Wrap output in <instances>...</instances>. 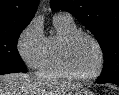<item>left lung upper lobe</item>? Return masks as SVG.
<instances>
[{"label":"left lung upper lobe","mask_w":119,"mask_h":95,"mask_svg":"<svg viewBox=\"0 0 119 95\" xmlns=\"http://www.w3.org/2000/svg\"><path fill=\"white\" fill-rule=\"evenodd\" d=\"M51 9L71 13L95 35L104 54L99 78L119 81V0H51Z\"/></svg>","instance_id":"5c2ea615"}]
</instances>
